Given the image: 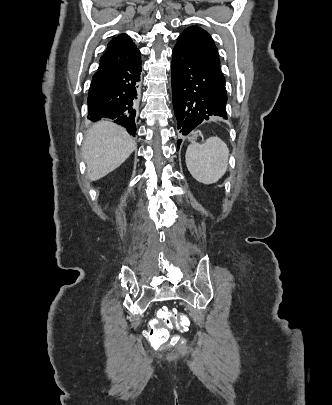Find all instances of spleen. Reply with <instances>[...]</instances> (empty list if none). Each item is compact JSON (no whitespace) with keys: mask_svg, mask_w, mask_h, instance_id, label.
I'll use <instances>...</instances> for the list:
<instances>
[{"mask_svg":"<svg viewBox=\"0 0 332 405\" xmlns=\"http://www.w3.org/2000/svg\"><path fill=\"white\" fill-rule=\"evenodd\" d=\"M229 149L218 137H210L202 144L192 142L186 151V165L195 180L214 184L228 168Z\"/></svg>","mask_w":332,"mask_h":405,"instance_id":"3e777b00","label":"spleen"}]
</instances>
